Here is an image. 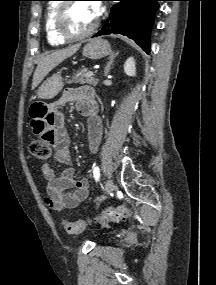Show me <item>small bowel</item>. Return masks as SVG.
<instances>
[{"label": "small bowel", "mask_w": 216, "mask_h": 285, "mask_svg": "<svg viewBox=\"0 0 216 285\" xmlns=\"http://www.w3.org/2000/svg\"><path fill=\"white\" fill-rule=\"evenodd\" d=\"M73 102L77 110L88 118V138L95 152L102 138V124L95 115V93L89 87L67 89L60 103ZM32 119L31 133L40 136L55 150V160L64 168L60 172L47 163L42 173L48 181L45 201L54 210L77 207L89 195L90 183L86 178L76 179L72 168L71 140L65 127V118L56 108L43 102L34 103L30 109Z\"/></svg>", "instance_id": "obj_1"}]
</instances>
